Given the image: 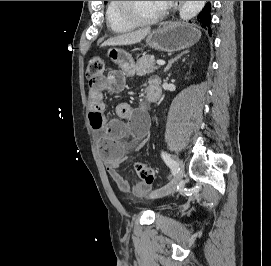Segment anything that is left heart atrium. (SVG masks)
<instances>
[{
  "mask_svg": "<svg viewBox=\"0 0 271 266\" xmlns=\"http://www.w3.org/2000/svg\"><path fill=\"white\" fill-rule=\"evenodd\" d=\"M162 5L167 4L169 1H160Z\"/></svg>",
  "mask_w": 271,
  "mask_h": 266,
  "instance_id": "1",
  "label": "left heart atrium"
}]
</instances>
